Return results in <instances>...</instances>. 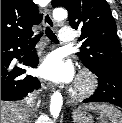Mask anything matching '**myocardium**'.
<instances>
[{
	"mask_svg": "<svg viewBox=\"0 0 122 123\" xmlns=\"http://www.w3.org/2000/svg\"><path fill=\"white\" fill-rule=\"evenodd\" d=\"M97 85L96 75L88 69H82L78 73L70 93L75 99H83L91 95L96 90Z\"/></svg>",
	"mask_w": 122,
	"mask_h": 123,
	"instance_id": "1",
	"label": "myocardium"
}]
</instances>
